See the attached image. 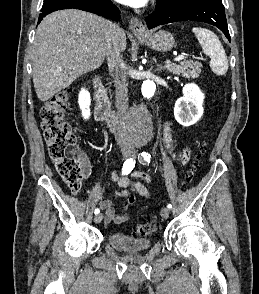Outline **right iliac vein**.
<instances>
[{"label":"right iliac vein","instance_id":"63e3f726","mask_svg":"<svg viewBox=\"0 0 259 294\" xmlns=\"http://www.w3.org/2000/svg\"><path fill=\"white\" fill-rule=\"evenodd\" d=\"M122 154L124 157H128L131 155V151L127 148H124L122 149ZM102 219H103V214L102 213L97 214L94 218V222L98 224L102 221Z\"/></svg>","mask_w":259,"mask_h":294}]
</instances>
